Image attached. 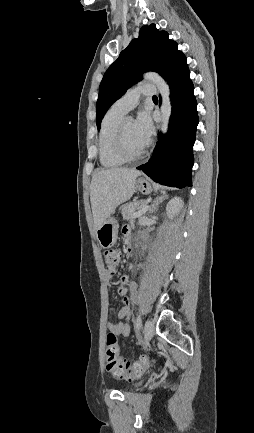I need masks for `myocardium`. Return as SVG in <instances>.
Returning <instances> with one entry per match:
<instances>
[{
  "instance_id": "obj_1",
  "label": "myocardium",
  "mask_w": 254,
  "mask_h": 433,
  "mask_svg": "<svg viewBox=\"0 0 254 433\" xmlns=\"http://www.w3.org/2000/svg\"><path fill=\"white\" fill-rule=\"evenodd\" d=\"M126 120L127 118H123L117 128L116 138H115L116 151L119 154V156L125 161H137L142 159L145 156V154L148 151L150 143L147 142L146 146L138 153H131L128 150L125 142L124 128H125Z\"/></svg>"
}]
</instances>
